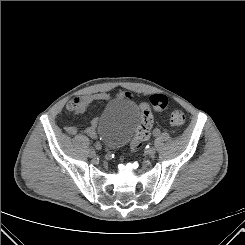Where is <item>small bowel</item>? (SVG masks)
<instances>
[{
    "label": "small bowel",
    "instance_id": "c3829d8e",
    "mask_svg": "<svg viewBox=\"0 0 245 245\" xmlns=\"http://www.w3.org/2000/svg\"><path fill=\"white\" fill-rule=\"evenodd\" d=\"M117 96L118 97L124 96L126 97V99H129V100L131 99V95L129 93L118 94ZM111 98L112 96L106 92H99V93L87 95L81 100V109L85 110L87 106L94 101H107V100H110ZM97 122H98L97 119H93L90 122V125L85 130L86 134H88L91 137H96ZM65 130L70 135L78 134V127L75 124L67 125L65 127Z\"/></svg>",
    "mask_w": 245,
    "mask_h": 245
}]
</instances>
